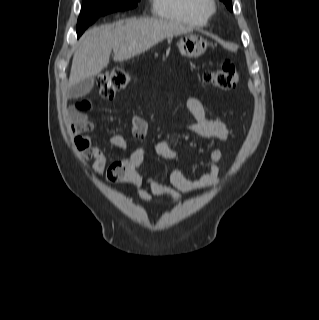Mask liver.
<instances>
[{
  "label": "liver",
  "instance_id": "1",
  "mask_svg": "<svg viewBox=\"0 0 319 320\" xmlns=\"http://www.w3.org/2000/svg\"><path fill=\"white\" fill-rule=\"evenodd\" d=\"M191 28L163 19H126L86 31L75 51L68 88L99 74L109 64L124 61L149 50L167 37L191 32Z\"/></svg>",
  "mask_w": 319,
  "mask_h": 320
}]
</instances>
